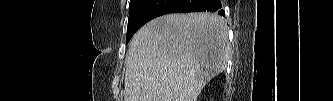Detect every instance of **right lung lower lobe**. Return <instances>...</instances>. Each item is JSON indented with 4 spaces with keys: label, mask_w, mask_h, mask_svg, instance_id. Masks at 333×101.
Wrapping results in <instances>:
<instances>
[{
    "label": "right lung lower lobe",
    "mask_w": 333,
    "mask_h": 101,
    "mask_svg": "<svg viewBox=\"0 0 333 101\" xmlns=\"http://www.w3.org/2000/svg\"><path fill=\"white\" fill-rule=\"evenodd\" d=\"M201 11L225 16L220 0H143L133 18V33L148 21L164 14Z\"/></svg>",
    "instance_id": "obj_1"
}]
</instances>
